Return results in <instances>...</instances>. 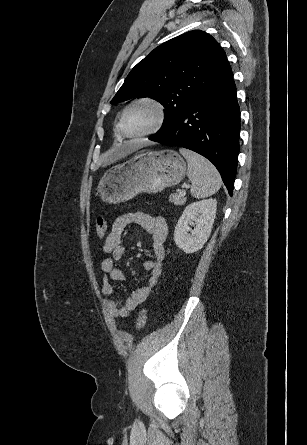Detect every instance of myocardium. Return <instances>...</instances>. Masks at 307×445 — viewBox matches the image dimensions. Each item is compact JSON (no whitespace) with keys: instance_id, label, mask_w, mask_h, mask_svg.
Listing matches in <instances>:
<instances>
[{"instance_id":"myocardium-1","label":"myocardium","mask_w":307,"mask_h":445,"mask_svg":"<svg viewBox=\"0 0 307 445\" xmlns=\"http://www.w3.org/2000/svg\"><path fill=\"white\" fill-rule=\"evenodd\" d=\"M137 104L152 105L157 111L158 118H157L155 125L152 128L142 131V132H139V133L131 134V133H128L126 130L125 118H126L128 110L132 106L137 105ZM167 119H168V111H167L166 106L161 101H159L158 99L153 98V97L137 98L134 101L130 102L124 108L121 119H120V131L127 138H137V137L149 136V135H152V134H155V133H158L159 131H161L165 127V125L167 123Z\"/></svg>"}]
</instances>
